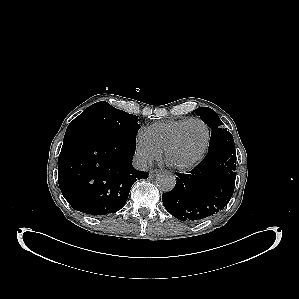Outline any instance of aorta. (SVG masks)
I'll use <instances>...</instances> for the list:
<instances>
[{"instance_id": "1", "label": "aorta", "mask_w": 299, "mask_h": 299, "mask_svg": "<svg viewBox=\"0 0 299 299\" xmlns=\"http://www.w3.org/2000/svg\"><path fill=\"white\" fill-rule=\"evenodd\" d=\"M175 184L176 178L170 173L163 172L157 177V185L164 192L171 191L175 187Z\"/></svg>"}]
</instances>
